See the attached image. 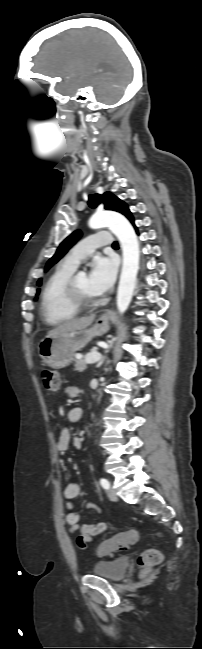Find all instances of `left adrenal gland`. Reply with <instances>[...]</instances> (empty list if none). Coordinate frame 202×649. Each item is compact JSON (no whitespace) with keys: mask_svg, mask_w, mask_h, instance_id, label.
I'll use <instances>...</instances> for the list:
<instances>
[{"mask_svg":"<svg viewBox=\"0 0 202 649\" xmlns=\"http://www.w3.org/2000/svg\"><path fill=\"white\" fill-rule=\"evenodd\" d=\"M104 361H105V358L103 359L102 363H104Z\"/></svg>","mask_w":202,"mask_h":649,"instance_id":"1","label":"left adrenal gland"}]
</instances>
